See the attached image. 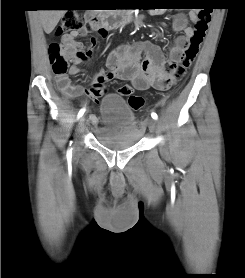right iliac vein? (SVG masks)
<instances>
[{
	"label": "right iliac vein",
	"mask_w": 245,
	"mask_h": 278,
	"mask_svg": "<svg viewBox=\"0 0 245 278\" xmlns=\"http://www.w3.org/2000/svg\"><path fill=\"white\" fill-rule=\"evenodd\" d=\"M85 127V117H81L79 122H78V127H77V132L78 134H80L81 132H83ZM79 150V144L78 142L75 143L74 145V151H78Z\"/></svg>",
	"instance_id": "63e3f726"
}]
</instances>
